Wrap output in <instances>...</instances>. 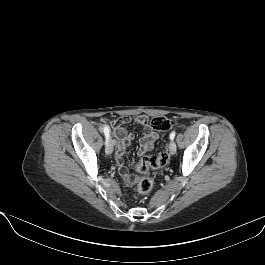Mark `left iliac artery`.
<instances>
[{"mask_svg":"<svg viewBox=\"0 0 265 265\" xmlns=\"http://www.w3.org/2000/svg\"><path fill=\"white\" fill-rule=\"evenodd\" d=\"M175 135H176V132L173 131L171 134H170V139L173 140L175 138Z\"/></svg>","mask_w":265,"mask_h":265,"instance_id":"left-iliac-artery-1","label":"left iliac artery"}]
</instances>
